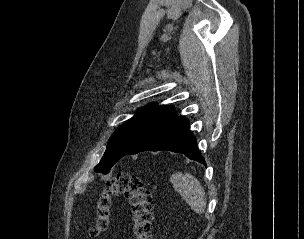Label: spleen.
Here are the masks:
<instances>
[{
  "label": "spleen",
  "instance_id": "spleen-1",
  "mask_svg": "<svg viewBox=\"0 0 304 239\" xmlns=\"http://www.w3.org/2000/svg\"><path fill=\"white\" fill-rule=\"evenodd\" d=\"M174 189L179 192L182 199L198 214H203L206 208V195L204 188L197 178L189 173H175L170 177Z\"/></svg>",
  "mask_w": 304,
  "mask_h": 239
}]
</instances>
